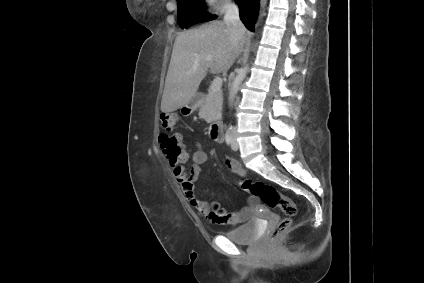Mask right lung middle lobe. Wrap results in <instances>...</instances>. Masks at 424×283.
I'll return each mask as SVG.
<instances>
[{
  "instance_id": "dd1d6c3e",
  "label": "right lung middle lobe",
  "mask_w": 424,
  "mask_h": 283,
  "mask_svg": "<svg viewBox=\"0 0 424 283\" xmlns=\"http://www.w3.org/2000/svg\"><path fill=\"white\" fill-rule=\"evenodd\" d=\"M178 23L181 28L214 20L216 17L205 11L204 0H177Z\"/></svg>"
}]
</instances>
